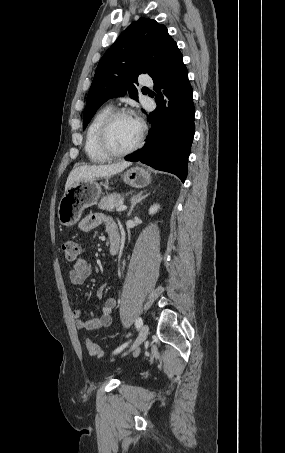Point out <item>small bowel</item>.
<instances>
[{
	"label": "small bowel",
	"mask_w": 285,
	"mask_h": 453,
	"mask_svg": "<svg viewBox=\"0 0 285 453\" xmlns=\"http://www.w3.org/2000/svg\"><path fill=\"white\" fill-rule=\"evenodd\" d=\"M104 223L106 225L107 233L109 236V241L117 239L120 241V232L117 225L105 215L100 213H94L83 218L79 223V229L84 232H88ZM92 273V266L86 260L85 257L80 256L77 260L74 261L70 272L69 278L72 284L80 285L82 284ZM106 284H102L97 292L96 299H101ZM116 306V300L114 298H108L105 300L100 316H95L94 313H91L89 318H84L83 312L74 306L72 308V315L75 318V324L77 328L84 330H94L101 327L109 326L112 322V311Z\"/></svg>",
	"instance_id": "c3829d8e"
}]
</instances>
